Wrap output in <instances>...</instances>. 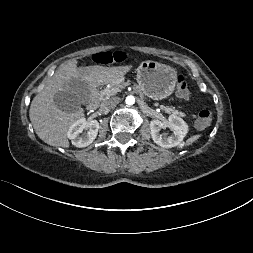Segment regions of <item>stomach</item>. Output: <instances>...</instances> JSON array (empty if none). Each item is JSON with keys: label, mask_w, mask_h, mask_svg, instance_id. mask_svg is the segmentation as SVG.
<instances>
[{"label": "stomach", "mask_w": 253, "mask_h": 253, "mask_svg": "<svg viewBox=\"0 0 253 253\" xmlns=\"http://www.w3.org/2000/svg\"><path fill=\"white\" fill-rule=\"evenodd\" d=\"M177 82L176 70L152 60L141 62L137 68V83L147 97L161 100L170 96Z\"/></svg>", "instance_id": "1"}]
</instances>
